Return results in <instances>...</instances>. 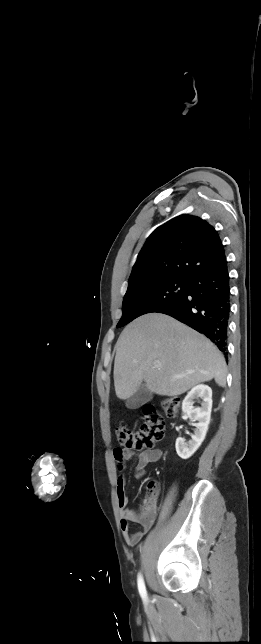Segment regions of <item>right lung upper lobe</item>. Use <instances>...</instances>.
<instances>
[{"instance_id": "right-lung-upper-lobe-1", "label": "right lung upper lobe", "mask_w": 261, "mask_h": 644, "mask_svg": "<svg viewBox=\"0 0 261 644\" xmlns=\"http://www.w3.org/2000/svg\"><path fill=\"white\" fill-rule=\"evenodd\" d=\"M224 260L217 231L198 217L180 215L148 237L133 266L128 289L168 278L189 279Z\"/></svg>"}]
</instances>
